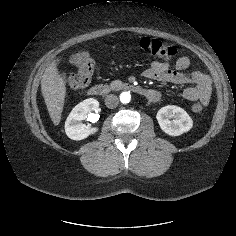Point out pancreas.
<instances>
[{
    "mask_svg": "<svg viewBox=\"0 0 236 236\" xmlns=\"http://www.w3.org/2000/svg\"><path fill=\"white\" fill-rule=\"evenodd\" d=\"M122 85L120 80H115L110 83V89H116Z\"/></svg>",
    "mask_w": 236,
    "mask_h": 236,
    "instance_id": "obj_1",
    "label": "pancreas"
}]
</instances>
